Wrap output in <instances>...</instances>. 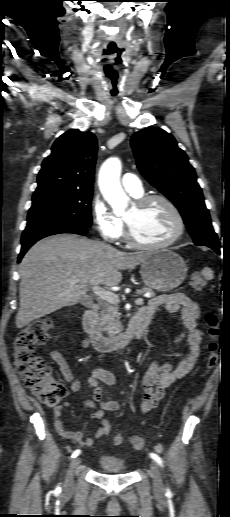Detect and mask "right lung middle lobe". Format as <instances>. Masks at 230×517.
Here are the masks:
<instances>
[{"instance_id": "1", "label": "right lung middle lobe", "mask_w": 230, "mask_h": 517, "mask_svg": "<svg viewBox=\"0 0 230 517\" xmlns=\"http://www.w3.org/2000/svg\"><path fill=\"white\" fill-rule=\"evenodd\" d=\"M92 191L56 193L32 199L27 227L50 222H67L90 227Z\"/></svg>"}]
</instances>
